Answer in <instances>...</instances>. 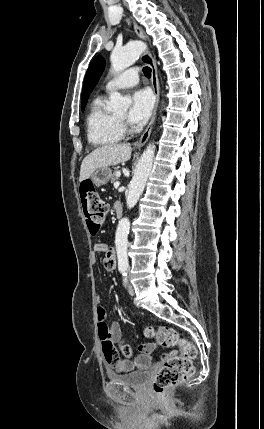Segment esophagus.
<instances>
[{"label":"esophagus","instance_id":"34e87169","mask_svg":"<svg viewBox=\"0 0 264 429\" xmlns=\"http://www.w3.org/2000/svg\"><path fill=\"white\" fill-rule=\"evenodd\" d=\"M133 27H134V30H135L136 34L138 35V37L141 39H145L143 32L135 23L133 24ZM141 60L151 68V83H152V88H153V92L155 94L156 101H155V107H154L152 118L149 122V125L147 126L144 133L141 135L140 139L135 143L136 147L143 146L147 142V140L149 139L151 131H152V127H153V124L155 121L157 107H158V103H159V80H158L157 66H156L155 60L153 59V57L149 51H145L142 54Z\"/></svg>","mask_w":264,"mask_h":429}]
</instances>
